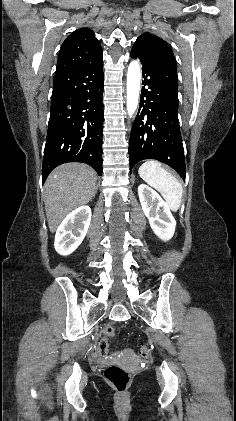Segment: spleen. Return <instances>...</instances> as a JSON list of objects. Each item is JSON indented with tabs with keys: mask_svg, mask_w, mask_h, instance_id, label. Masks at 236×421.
<instances>
[{
	"mask_svg": "<svg viewBox=\"0 0 236 421\" xmlns=\"http://www.w3.org/2000/svg\"><path fill=\"white\" fill-rule=\"evenodd\" d=\"M139 176L148 182L150 186L161 192L171 211H178L182 202L183 188L181 182L170 174L166 168H162L158 160H146L139 166Z\"/></svg>",
	"mask_w": 236,
	"mask_h": 421,
	"instance_id": "1",
	"label": "spleen"
}]
</instances>
